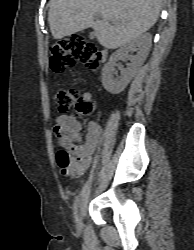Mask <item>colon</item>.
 Masks as SVG:
<instances>
[{
  "mask_svg": "<svg viewBox=\"0 0 194 250\" xmlns=\"http://www.w3.org/2000/svg\"><path fill=\"white\" fill-rule=\"evenodd\" d=\"M81 62L88 68L96 70L100 62L98 47L79 35H72L59 40L50 47V69L61 73ZM53 98L60 112L75 109L79 114L86 115L91 110L90 100L80 97L78 92L69 87H59L54 90ZM58 164L68 168L71 155L66 150L57 152Z\"/></svg>",
  "mask_w": 194,
  "mask_h": 250,
  "instance_id": "obj_1",
  "label": "colon"
}]
</instances>
